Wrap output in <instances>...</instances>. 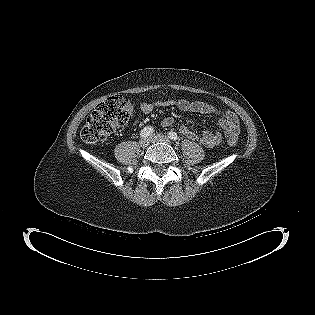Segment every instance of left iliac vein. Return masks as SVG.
<instances>
[{
  "label": "left iliac vein",
  "mask_w": 315,
  "mask_h": 315,
  "mask_svg": "<svg viewBox=\"0 0 315 315\" xmlns=\"http://www.w3.org/2000/svg\"><path fill=\"white\" fill-rule=\"evenodd\" d=\"M150 141L153 143H156V142H164L167 144L171 143L170 139L166 135H163V134H153L150 137Z\"/></svg>",
  "instance_id": "left-iliac-vein-1"
}]
</instances>
